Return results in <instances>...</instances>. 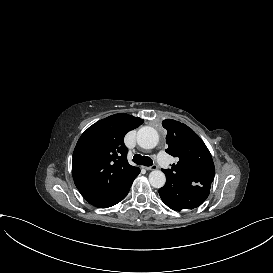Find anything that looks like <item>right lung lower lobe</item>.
Instances as JSON below:
<instances>
[{
	"label": "right lung lower lobe",
	"mask_w": 273,
	"mask_h": 273,
	"mask_svg": "<svg viewBox=\"0 0 273 273\" xmlns=\"http://www.w3.org/2000/svg\"><path fill=\"white\" fill-rule=\"evenodd\" d=\"M129 189H130V188H129ZM128 192H129V190L127 191V193H128ZM127 193L124 195V197L127 195ZM124 197H123V198H124ZM123 198H122V199H123ZM122 199H121V200H122ZM121 200H120V201H121ZM120 201H119V202H120Z\"/></svg>",
	"instance_id": "1"
}]
</instances>
